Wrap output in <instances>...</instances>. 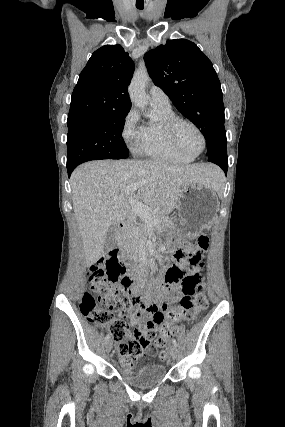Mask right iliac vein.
Returning <instances> with one entry per match:
<instances>
[{"instance_id": "63e3f726", "label": "right iliac vein", "mask_w": 285, "mask_h": 427, "mask_svg": "<svg viewBox=\"0 0 285 427\" xmlns=\"http://www.w3.org/2000/svg\"><path fill=\"white\" fill-rule=\"evenodd\" d=\"M105 349H106L107 352L111 351V349H112V342L110 340L106 342Z\"/></svg>"}]
</instances>
